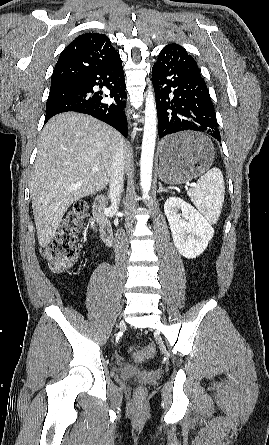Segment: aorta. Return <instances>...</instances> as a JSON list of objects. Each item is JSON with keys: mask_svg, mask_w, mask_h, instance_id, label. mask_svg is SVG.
I'll list each match as a JSON object with an SVG mask.
<instances>
[{"mask_svg": "<svg viewBox=\"0 0 269 445\" xmlns=\"http://www.w3.org/2000/svg\"><path fill=\"white\" fill-rule=\"evenodd\" d=\"M157 132V113L152 90H147L145 101V123L141 148L140 182L143 198L148 197L152 182L153 158Z\"/></svg>", "mask_w": 269, "mask_h": 445, "instance_id": "762f6f07", "label": "aorta"}]
</instances>
